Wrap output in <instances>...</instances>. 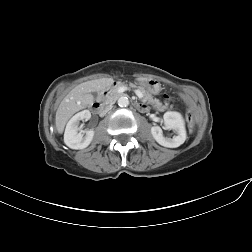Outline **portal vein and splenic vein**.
Segmentation results:
<instances>
[{
	"label": "portal vein and splenic vein",
	"instance_id": "portal-vein-and-splenic-vein-1",
	"mask_svg": "<svg viewBox=\"0 0 252 252\" xmlns=\"http://www.w3.org/2000/svg\"><path fill=\"white\" fill-rule=\"evenodd\" d=\"M136 94H137V96H138L139 98L142 97V93H141V92H137Z\"/></svg>",
	"mask_w": 252,
	"mask_h": 252
}]
</instances>
